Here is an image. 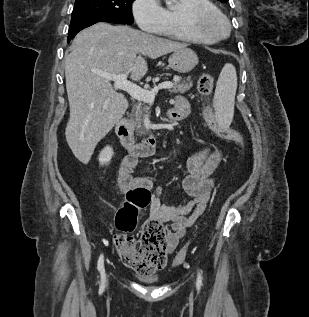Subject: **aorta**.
<instances>
[{
  "label": "aorta",
  "instance_id": "aorta-1",
  "mask_svg": "<svg viewBox=\"0 0 309 317\" xmlns=\"http://www.w3.org/2000/svg\"><path fill=\"white\" fill-rule=\"evenodd\" d=\"M171 1H172V0H166V3H167V4H170V3H171Z\"/></svg>",
  "mask_w": 309,
  "mask_h": 317
}]
</instances>
